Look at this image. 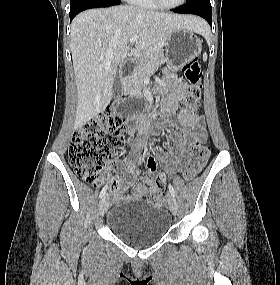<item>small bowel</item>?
Returning a JSON list of instances; mask_svg holds the SVG:
<instances>
[{
  "mask_svg": "<svg viewBox=\"0 0 280 285\" xmlns=\"http://www.w3.org/2000/svg\"><path fill=\"white\" fill-rule=\"evenodd\" d=\"M188 90V84L180 81L177 87L170 92L167 97V112L178 111V118L184 131L181 134L175 135V141L178 144L180 155L175 158L172 168H168L164 171H158V160L154 156H147L145 160V167L151 174V177L144 178V184H140L137 181L138 172L136 169V160L140 151L143 148V141L138 140L134 143L135 158L126 159L124 161L114 160L112 165L118 166L125 177H115L116 190L114 193L117 201L123 200L125 197L131 199H142L151 193L161 191L166 184L167 177L182 168V157L187 152V149L191 146L196 139H205L206 131L202 117L197 113H192L185 108L180 107V102ZM137 125L131 129L132 136L143 137L147 128L148 123L142 117H136ZM132 187L133 192L125 196V192L128 188Z\"/></svg>",
  "mask_w": 280,
  "mask_h": 285,
  "instance_id": "small-bowel-1",
  "label": "small bowel"
}]
</instances>
